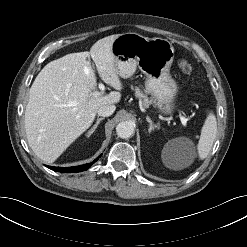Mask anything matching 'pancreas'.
<instances>
[{"label": "pancreas", "instance_id": "pancreas-1", "mask_svg": "<svg viewBox=\"0 0 247 247\" xmlns=\"http://www.w3.org/2000/svg\"><path fill=\"white\" fill-rule=\"evenodd\" d=\"M135 96L138 99H142L143 101V105L145 107H149V105H151L152 103H154V101L152 99H149L147 95L143 94L139 88H135Z\"/></svg>", "mask_w": 247, "mask_h": 247}]
</instances>
